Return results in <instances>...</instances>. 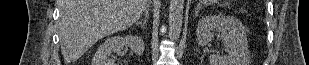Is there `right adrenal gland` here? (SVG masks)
<instances>
[{"instance_id": "obj_1", "label": "right adrenal gland", "mask_w": 309, "mask_h": 65, "mask_svg": "<svg viewBox=\"0 0 309 65\" xmlns=\"http://www.w3.org/2000/svg\"><path fill=\"white\" fill-rule=\"evenodd\" d=\"M148 19H149V12H148V10H147V12H146V14H145V19H144L143 21L137 22L136 24H137V25H140V27H141L142 29H145V25L147 24Z\"/></svg>"}]
</instances>
